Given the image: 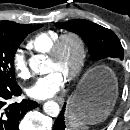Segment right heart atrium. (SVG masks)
<instances>
[{
	"label": "right heart atrium",
	"mask_w": 130,
	"mask_h": 130,
	"mask_svg": "<svg viewBox=\"0 0 130 130\" xmlns=\"http://www.w3.org/2000/svg\"><path fill=\"white\" fill-rule=\"evenodd\" d=\"M13 68L21 78H28L30 75L27 59L22 49H17L12 57Z\"/></svg>",
	"instance_id": "1"
}]
</instances>
